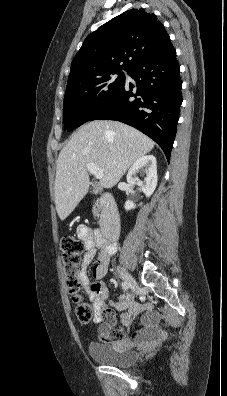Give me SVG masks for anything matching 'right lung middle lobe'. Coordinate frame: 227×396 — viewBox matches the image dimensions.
I'll return each instance as SVG.
<instances>
[{
  "label": "right lung middle lobe",
  "instance_id": "right-lung-middle-lobe-1",
  "mask_svg": "<svg viewBox=\"0 0 227 396\" xmlns=\"http://www.w3.org/2000/svg\"><path fill=\"white\" fill-rule=\"evenodd\" d=\"M128 73V71H127ZM117 74L116 79L113 75ZM125 84L121 70L101 74L67 87L63 103L64 129L73 130L98 112Z\"/></svg>",
  "mask_w": 227,
  "mask_h": 396
}]
</instances>
